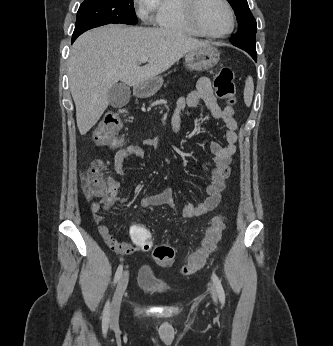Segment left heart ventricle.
<instances>
[{
	"label": "left heart ventricle",
	"instance_id": "obj_1",
	"mask_svg": "<svg viewBox=\"0 0 333 346\" xmlns=\"http://www.w3.org/2000/svg\"><path fill=\"white\" fill-rule=\"evenodd\" d=\"M199 19L207 31L215 34L223 33L230 25L228 11L220 0H203Z\"/></svg>",
	"mask_w": 333,
	"mask_h": 346
}]
</instances>
